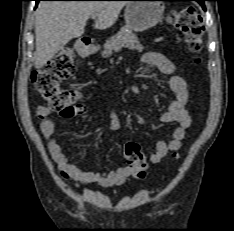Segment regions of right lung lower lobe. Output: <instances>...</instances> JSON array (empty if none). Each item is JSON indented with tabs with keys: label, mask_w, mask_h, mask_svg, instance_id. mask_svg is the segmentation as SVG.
I'll return each mask as SVG.
<instances>
[{
	"label": "right lung lower lobe",
	"mask_w": 234,
	"mask_h": 231,
	"mask_svg": "<svg viewBox=\"0 0 234 231\" xmlns=\"http://www.w3.org/2000/svg\"><path fill=\"white\" fill-rule=\"evenodd\" d=\"M39 1H57V0H35V2H36V6L38 5V2ZM59 1V0H58ZM61 1V0H60Z\"/></svg>",
	"instance_id": "right-lung-lower-lobe-1"
}]
</instances>
